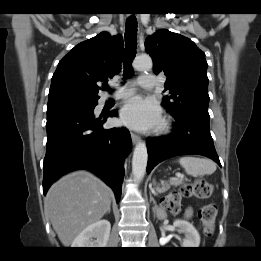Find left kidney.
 I'll return each mask as SVG.
<instances>
[{"label": "left kidney", "mask_w": 261, "mask_h": 261, "mask_svg": "<svg viewBox=\"0 0 261 261\" xmlns=\"http://www.w3.org/2000/svg\"><path fill=\"white\" fill-rule=\"evenodd\" d=\"M174 226L178 228L180 233L185 234V238L181 243L183 248H197L200 244V235L196 228L188 221L175 220Z\"/></svg>", "instance_id": "left-kidney-1"}]
</instances>
